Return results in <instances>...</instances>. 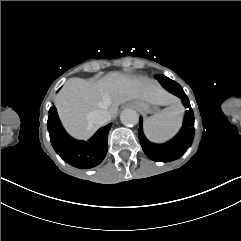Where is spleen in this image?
<instances>
[{"label": "spleen", "mask_w": 241, "mask_h": 241, "mask_svg": "<svg viewBox=\"0 0 241 241\" xmlns=\"http://www.w3.org/2000/svg\"><path fill=\"white\" fill-rule=\"evenodd\" d=\"M181 113L166 107L145 121L146 135L155 142L170 138L180 127Z\"/></svg>", "instance_id": "obj_1"}]
</instances>
